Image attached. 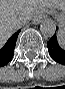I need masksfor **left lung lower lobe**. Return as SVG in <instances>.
<instances>
[{"label":"left lung lower lobe","instance_id":"0a47b994","mask_svg":"<svg viewBox=\"0 0 65 89\" xmlns=\"http://www.w3.org/2000/svg\"><path fill=\"white\" fill-rule=\"evenodd\" d=\"M57 29V28H56ZM47 47L50 56L58 63L65 65V42H61L54 35L48 42Z\"/></svg>","mask_w":65,"mask_h":89}]
</instances>
